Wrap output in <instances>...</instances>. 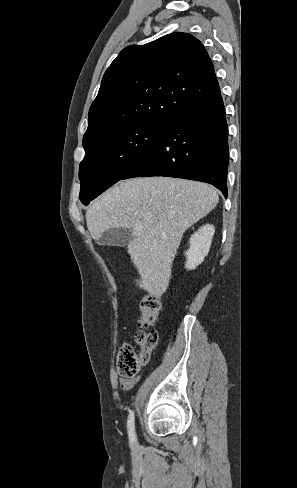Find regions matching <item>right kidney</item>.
I'll return each mask as SVG.
<instances>
[{"instance_id": "right-kidney-1", "label": "right kidney", "mask_w": 297, "mask_h": 488, "mask_svg": "<svg viewBox=\"0 0 297 488\" xmlns=\"http://www.w3.org/2000/svg\"><path fill=\"white\" fill-rule=\"evenodd\" d=\"M214 232V226L206 224L191 236L189 249L185 252L187 269H195L203 262L209 252Z\"/></svg>"}]
</instances>
